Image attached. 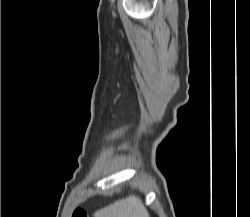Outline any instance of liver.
I'll list each match as a JSON object with an SVG mask.
<instances>
[{
  "label": "liver",
  "instance_id": "1",
  "mask_svg": "<svg viewBox=\"0 0 250 217\" xmlns=\"http://www.w3.org/2000/svg\"><path fill=\"white\" fill-rule=\"evenodd\" d=\"M94 217H149L142 200L130 195L124 199L118 200L100 210H97Z\"/></svg>",
  "mask_w": 250,
  "mask_h": 217
}]
</instances>
